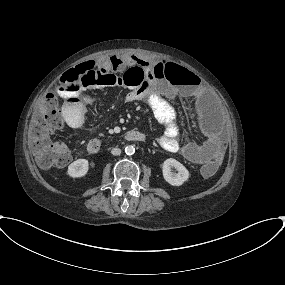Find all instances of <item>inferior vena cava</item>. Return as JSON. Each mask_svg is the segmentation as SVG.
I'll return each mask as SVG.
<instances>
[{
  "mask_svg": "<svg viewBox=\"0 0 285 285\" xmlns=\"http://www.w3.org/2000/svg\"><path fill=\"white\" fill-rule=\"evenodd\" d=\"M111 153H112V155H114V156L120 155V154H121V149H119V148H113V149L111 150Z\"/></svg>",
  "mask_w": 285,
  "mask_h": 285,
  "instance_id": "obj_1",
  "label": "inferior vena cava"
}]
</instances>
